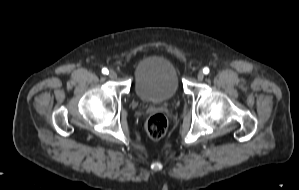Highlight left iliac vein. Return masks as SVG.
I'll list each match as a JSON object with an SVG mask.
<instances>
[{"label":"left iliac vein","mask_w":299,"mask_h":190,"mask_svg":"<svg viewBox=\"0 0 299 190\" xmlns=\"http://www.w3.org/2000/svg\"><path fill=\"white\" fill-rule=\"evenodd\" d=\"M203 78H204V73H203L202 71H199L198 74H197V79H198L199 81H202Z\"/></svg>","instance_id":"left-iliac-vein-1"}]
</instances>
